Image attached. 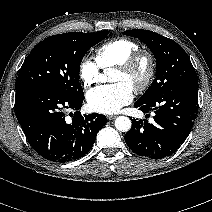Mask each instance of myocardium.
<instances>
[{"mask_svg":"<svg viewBox=\"0 0 212 212\" xmlns=\"http://www.w3.org/2000/svg\"><path fill=\"white\" fill-rule=\"evenodd\" d=\"M141 64L145 65V74L140 82L133 86L136 92H143L149 88L156 74V61L154 56L144 50H138L131 54L125 61L116 65V69L124 73L134 72Z\"/></svg>","mask_w":212,"mask_h":212,"instance_id":"obj_1","label":"myocardium"}]
</instances>
